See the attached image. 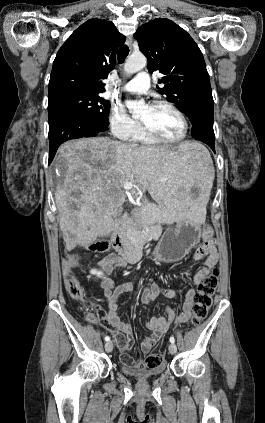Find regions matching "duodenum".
<instances>
[{"instance_id":"410a0bca","label":"duodenum","mask_w":265,"mask_h":423,"mask_svg":"<svg viewBox=\"0 0 265 423\" xmlns=\"http://www.w3.org/2000/svg\"><path fill=\"white\" fill-rule=\"evenodd\" d=\"M113 248L120 254L125 263H136L143 256V244L141 239L130 242L125 237V221H122L116 232L111 237Z\"/></svg>"}]
</instances>
